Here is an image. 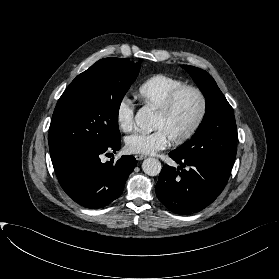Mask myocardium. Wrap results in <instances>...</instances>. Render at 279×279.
Listing matches in <instances>:
<instances>
[{
    "instance_id": "f54148a6",
    "label": "myocardium",
    "mask_w": 279,
    "mask_h": 279,
    "mask_svg": "<svg viewBox=\"0 0 279 279\" xmlns=\"http://www.w3.org/2000/svg\"><path fill=\"white\" fill-rule=\"evenodd\" d=\"M186 91H191L198 96L200 100V111L192 126L184 134L170 140L171 143L176 145L183 144L186 141L190 140L202 126L208 110V102L206 95L200 88L196 86L184 85L173 90L168 95L163 105L158 110H156V114H158L159 116H167L171 112L177 98Z\"/></svg>"
}]
</instances>
